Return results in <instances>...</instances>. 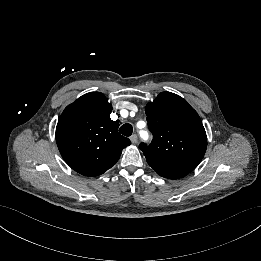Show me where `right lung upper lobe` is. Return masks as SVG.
Listing matches in <instances>:
<instances>
[{"mask_svg": "<svg viewBox=\"0 0 261 261\" xmlns=\"http://www.w3.org/2000/svg\"><path fill=\"white\" fill-rule=\"evenodd\" d=\"M112 105L100 92L87 93L68 105L56 127V142L66 163L76 172L98 176L111 168L131 144L110 118Z\"/></svg>", "mask_w": 261, "mask_h": 261, "instance_id": "cb5924a9", "label": "right lung upper lobe"}]
</instances>
